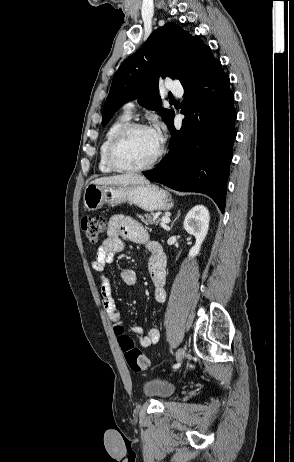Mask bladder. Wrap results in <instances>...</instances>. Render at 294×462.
<instances>
[{
    "mask_svg": "<svg viewBox=\"0 0 294 462\" xmlns=\"http://www.w3.org/2000/svg\"><path fill=\"white\" fill-rule=\"evenodd\" d=\"M175 392V387L163 378H151L142 385V393L145 397L166 400Z\"/></svg>",
    "mask_w": 294,
    "mask_h": 462,
    "instance_id": "1",
    "label": "bladder"
}]
</instances>
